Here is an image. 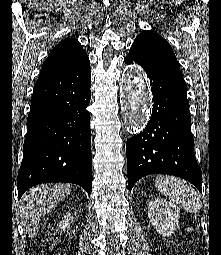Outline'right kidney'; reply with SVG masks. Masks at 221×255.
Instances as JSON below:
<instances>
[{
    "label": "right kidney",
    "mask_w": 221,
    "mask_h": 255,
    "mask_svg": "<svg viewBox=\"0 0 221 255\" xmlns=\"http://www.w3.org/2000/svg\"><path fill=\"white\" fill-rule=\"evenodd\" d=\"M71 219V215L70 213L66 214L64 216V220H62V222L59 223V228L61 230H65L66 228L69 227V220Z\"/></svg>",
    "instance_id": "1"
}]
</instances>
